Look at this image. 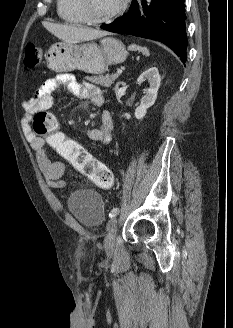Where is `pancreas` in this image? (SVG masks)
<instances>
[{
  "label": "pancreas",
  "mask_w": 233,
  "mask_h": 328,
  "mask_svg": "<svg viewBox=\"0 0 233 328\" xmlns=\"http://www.w3.org/2000/svg\"><path fill=\"white\" fill-rule=\"evenodd\" d=\"M119 77V74H106V75H98V76H86L85 79L94 83L101 85L103 87H110L114 81Z\"/></svg>",
  "instance_id": "cf45deb5"
}]
</instances>
